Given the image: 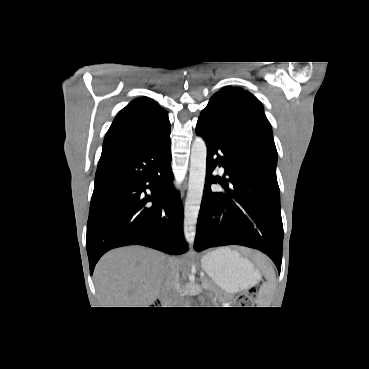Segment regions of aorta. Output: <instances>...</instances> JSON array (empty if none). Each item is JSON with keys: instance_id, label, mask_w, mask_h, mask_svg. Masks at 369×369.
Masks as SVG:
<instances>
[{"instance_id": "obj_1", "label": "aorta", "mask_w": 369, "mask_h": 369, "mask_svg": "<svg viewBox=\"0 0 369 369\" xmlns=\"http://www.w3.org/2000/svg\"><path fill=\"white\" fill-rule=\"evenodd\" d=\"M207 148L202 137H196L191 147L188 192L184 207V236L189 247L195 240L197 218L206 176Z\"/></svg>"}]
</instances>
